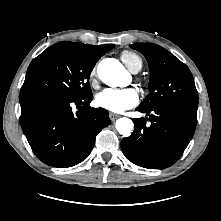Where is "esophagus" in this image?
<instances>
[{"label": "esophagus", "instance_id": "obj_1", "mask_svg": "<svg viewBox=\"0 0 221 221\" xmlns=\"http://www.w3.org/2000/svg\"><path fill=\"white\" fill-rule=\"evenodd\" d=\"M109 117H110L111 121L114 122V121L119 117V115H117V114H115V113H110V114H109Z\"/></svg>", "mask_w": 221, "mask_h": 221}]
</instances>
